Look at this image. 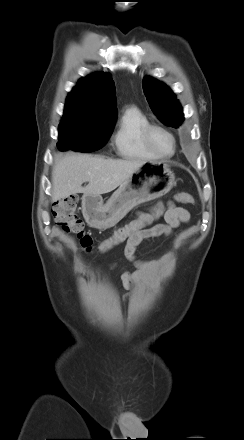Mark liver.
<instances>
[{"label":"liver","mask_w":244,"mask_h":440,"mask_svg":"<svg viewBox=\"0 0 244 440\" xmlns=\"http://www.w3.org/2000/svg\"><path fill=\"white\" fill-rule=\"evenodd\" d=\"M143 160H114L88 154L70 153L55 161L52 171L53 200L83 193L96 195L109 193L121 186ZM88 182L86 187H82Z\"/></svg>","instance_id":"obj_1"}]
</instances>
